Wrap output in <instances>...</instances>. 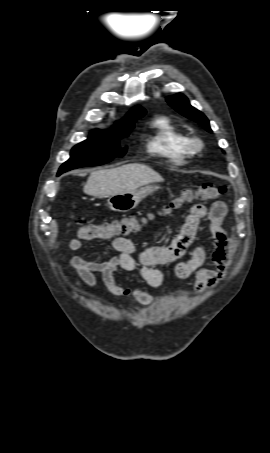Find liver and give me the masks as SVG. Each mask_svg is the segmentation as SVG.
<instances>
[{"mask_svg": "<svg viewBox=\"0 0 270 453\" xmlns=\"http://www.w3.org/2000/svg\"><path fill=\"white\" fill-rule=\"evenodd\" d=\"M164 179L145 164L131 163L116 168L91 172L84 193L90 196L124 194Z\"/></svg>", "mask_w": 270, "mask_h": 453, "instance_id": "obj_1", "label": "liver"}]
</instances>
